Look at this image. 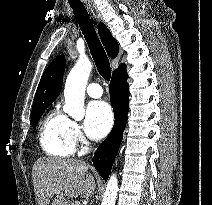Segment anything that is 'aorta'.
<instances>
[{
    "instance_id": "aorta-1",
    "label": "aorta",
    "mask_w": 212,
    "mask_h": 205,
    "mask_svg": "<svg viewBox=\"0 0 212 205\" xmlns=\"http://www.w3.org/2000/svg\"><path fill=\"white\" fill-rule=\"evenodd\" d=\"M92 70V63L86 57L79 58L70 71L64 90V111L74 118L83 116V104L85 88ZM118 192V180L116 174H112L107 182L101 205H115Z\"/></svg>"
}]
</instances>
